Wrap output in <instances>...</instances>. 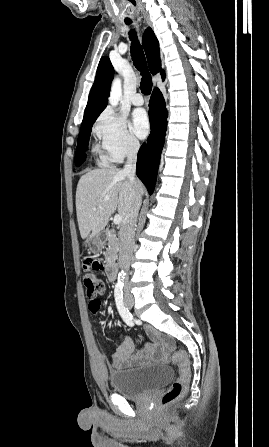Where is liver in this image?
<instances>
[{"label":"liver","mask_w":269,"mask_h":447,"mask_svg":"<svg viewBox=\"0 0 269 447\" xmlns=\"http://www.w3.org/2000/svg\"><path fill=\"white\" fill-rule=\"evenodd\" d=\"M126 178L122 170L115 168L90 170L81 176L76 190V214L83 239L87 237L86 241H90L98 235L116 210L119 216L125 218L135 202V196H142L141 182L135 180L132 184Z\"/></svg>","instance_id":"liver-1"}]
</instances>
